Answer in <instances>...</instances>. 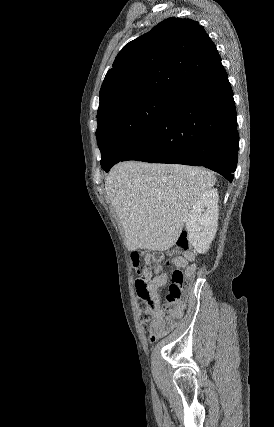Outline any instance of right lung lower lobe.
I'll return each mask as SVG.
<instances>
[{"instance_id": "obj_1", "label": "right lung lower lobe", "mask_w": 274, "mask_h": 427, "mask_svg": "<svg viewBox=\"0 0 274 427\" xmlns=\"http://www.w3.org/2000/svg\"><path fill=\"white\" fill-rule=\"evenodd\" d=\"M239 136L225 69L175 97L153 130L121 160L204 166L232 182ZM109 167L103 168L106 172Z\"/></svg>"}]
</instances>
